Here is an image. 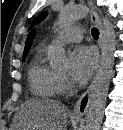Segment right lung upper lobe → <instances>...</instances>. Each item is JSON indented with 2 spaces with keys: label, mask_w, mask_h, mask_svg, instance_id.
Listing matches in <instances>:
<instances>
[{
  "label": "right lung upper lobe",
  "mask_w": 123,
  "mask_h": 130,
  "mask_svg": "<svg viewBox=\"0 0 123 130\" xmlns=\"http://www.w3.org/2000/svg\"><path fill=\"white\" fill-rule=\"evenodd\" d=\"M34 35H35V30L33 29V30L30 32V34L28 35L27 39H26V44H25L23 56L28 54L29 48H30L31 43H32V39L34 38Z\"/></svg>",
  "instance_id": "1"
}]
</instances>
